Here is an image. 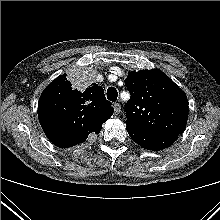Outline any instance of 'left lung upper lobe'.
<instances>
[{
	"instance_id": "1",
	"label": "left lung upper lobe",
	"mask_w": 220,
	"mask_h": 220,
	"mask_svg": "<svg viewBox=\"0 0 220 220\" xmlns=\"http://www.w3.org/2000/svg\"><path fill=\"white\" fill-rule=\"evenodd\" d=\"M125 85L127 128L144 134L178 137L188 119L185 93L158 69L129 72Z\"/></svg>"
}]
</instances>
